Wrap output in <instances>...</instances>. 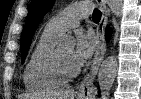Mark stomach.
<instances>
[{
    "mask_svg": "<svg viewBox=\"0 0 141 99\" xmlns=\"http://www.w3.org/2000/svg\"><path fill=\"white\" fill-rule=\"evenodd\" d=\"M77 99H87L86 97H78Z\"/></svg>",
    "mask_w": 141,
    "mask_h": 99,
    "instance_id": "1",
    "label": "stomach"
}]
</instances>
